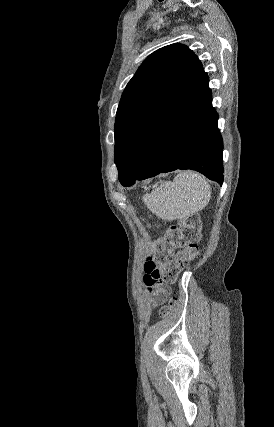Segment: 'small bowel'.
Listing matches in <instances>:
<instances>
[{
  "label": "small bowel",
  "instance_id": "c3829d8e",
  "mask_svg": "<svg viewBox=\"0 0 274 427\" xmlns=\"http://www.w3.org/2000/svg\"><path fill=\"white\" fill-rule=\"evenodd\" d=\"M154 255H159V250H154ZM161 254L164 257L174 256L175 251H161ZM151 257H147L145 265L142 266V271L145 272L144 276V284L145 291L148 294H153L156 296L158 302H163L168 293L169 289L165 284H172L174 282V278H178L179 271L183 268V263L181 261H169L166 264L162 263L161 266L159 264H146L151 261ZM167 268V269H161ZM149 273H154L155 277H150ZM161 278V279H160Z\"/></svg>",
  "mask_w": 274,
  "mask_h": 427
}]
</instances>
